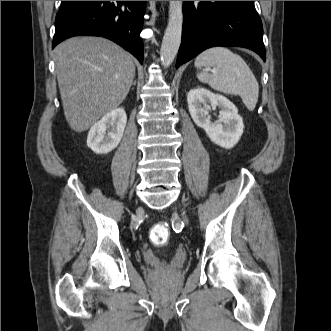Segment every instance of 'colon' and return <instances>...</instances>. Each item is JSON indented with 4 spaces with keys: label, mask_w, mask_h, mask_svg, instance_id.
I'll return each mask as SVG.
<instances>
[{
    "label": "colon",
    "mask_w": 331,
    "mask_h": 331,
    "mask_svg": "<svg viewBox=\"0 0 331 331\" xmlns=\"http://www.w3.org/2000/svg\"><path fill=\"white\" fill-rule=\"evenodd\" d=\"M149 238L155 245H165L170 238V230L166 224L158 223L151 228Z\"/></svg>",
    "instance_id": "colon-1"
}]
</instances>
